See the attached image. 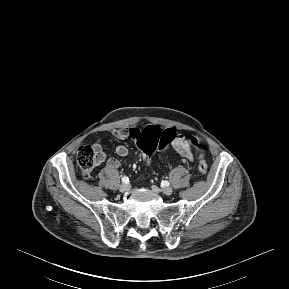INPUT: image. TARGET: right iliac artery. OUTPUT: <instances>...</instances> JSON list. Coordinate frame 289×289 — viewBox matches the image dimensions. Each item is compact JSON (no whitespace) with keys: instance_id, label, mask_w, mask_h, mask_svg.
<instances>
[{"instance_id":"obj_1","label":"right iliac artery","mask_w":289,"mask_h":289,"mask_svg":"<svg viewBox=\"0 0 289 289\" xmlns=\"http://www.w3.org/2000/svg\"><path fill=\"white\" fill-rule=\"evenodd\" d=\"M129 181L128 177L124 176L122 177V182L123 183H127Z\"/></svg>"}]
</instances>
